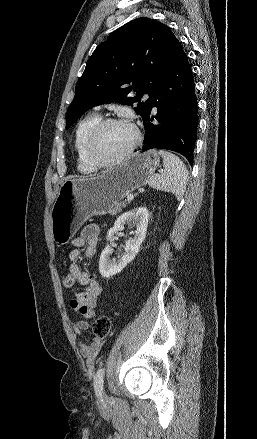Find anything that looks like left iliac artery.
<instances>
[{
    "label": "left iliac artery",
    "mask_w": 257,
    "mask_h": 439,
    "mask_svg": "<svg viewBox=\"0 0 257 439\" xmlns=\"http://www.w3.org/2000/svg\"><path fill=\"white\" fill-rule=\"evenodd\" d=\"M104 374H105L104 368H100L94 377V389L97 396L102 395Z\"/></svg>",
    "instance_id": "44dca946"
}]
</instances>
